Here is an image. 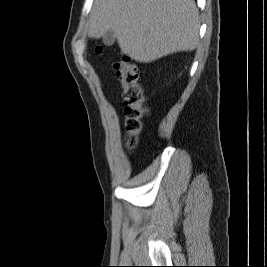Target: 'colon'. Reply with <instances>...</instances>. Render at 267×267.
<instances>
[{
    "instance_id": "1",
    "label": "colon",
    "mask_w": 267,
    "mask_h": 267,
    "mask_svg": "<svg viewBox=\"0 0 267 267\" xmlns=\"http://www.w3.org/2000/svg\"><path fill=\"white\" fill-rule=\"evenodd\" d=\"M114 69L123 88L125 144L129 148H133L137 143L138 134L142 127V118L148 113L139 82V71L138 67L127 56L116 61Z\"/></svg>"
}]
</instances>
